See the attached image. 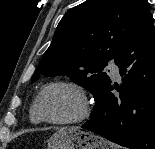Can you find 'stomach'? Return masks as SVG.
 <instances>
[{"label":"stomach","instance_id":"0dacf381","mask_svg":"<svg viewBox=\"0 0 155 149\" xmlns=\"http://www.w3.org/2000/svg\"><path fill=\"white\" fill-rule=\"evenodd\" d=\"M47 143L48 149H116L102 137L76 127L58 129Z\"/></svg>","mask_w":155,"mask_h":149}]
</instances>
